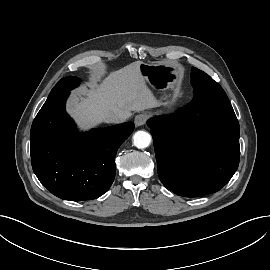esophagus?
Here are the masks:
<instances>
[{
	"mask_svg": "<svg viewBox=\"0 0 270 270\" xmlns=\"http://www.w3.org/2000/svg\"><path fill=\"white\" fill-rule=\"evenodd\" d=\"M147 116L145 114H139L135 117L134 123L137 127L142 126L146 123Z\"/></svg>",
	"mask_w": 270,
	"mask_h": 270,
	"instance_id": "esophagus-1",
	"label": "esophagus"
}]
</instances>
